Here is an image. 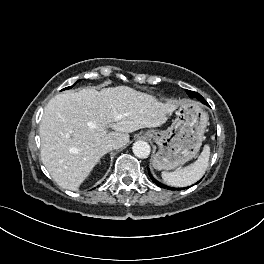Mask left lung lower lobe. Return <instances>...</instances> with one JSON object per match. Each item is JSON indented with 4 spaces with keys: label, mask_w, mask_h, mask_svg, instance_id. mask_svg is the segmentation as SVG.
<instances>
[{
    "label": "left lung lower lobe",
    "mask_w": 264,
    "mask_h": 264,
    "mask_svg": "<svg viewBox=\"0 0 264 264\" xmlns=\"http://www.w3.org/2000/svg\"><path fill=\"white\" fill-rule=\"evenodd\" d=\"M191 96H192V98H193V97H196L197 99L201 100L202 103L207 104L206 101L204 100V98H203L200 94L194 92V94H191ZM149 175H150L152 181L155 182L158 186H160V187H162V188L173 189V188H171V187H167V186H165V185L159 183L158 181H156V180L152 177V175H151L150 173H149Z\"/></svg>",
    "instance_id": "1"
}]
</instances>
